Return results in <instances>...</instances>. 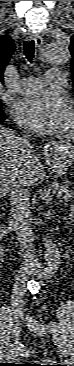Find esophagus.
<instances>
[{"mask_svg": "<svg viewBox=\"0 0 74 366\" xmlns=\"http://www.w3.org/2000/svg\"><path fill=\"white\" fill-rule=\"evenodd\" d=\"M30 38L33 39L37 45V47L41 48L43 44V40L39 34H30Z\"/></svg>", "mask_w": 74, "mask_h": 366, "instance_id": "34e87169", "label": "esophagus"}]
</instances>
